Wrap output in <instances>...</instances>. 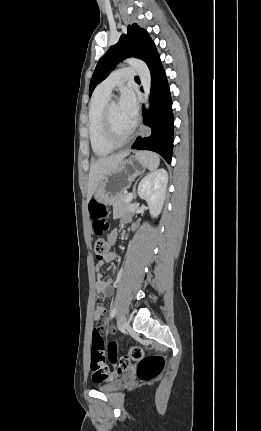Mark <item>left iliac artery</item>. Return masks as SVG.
I'll return each instance as SVG.
<instances>
[{
    "label": "left iliac artery",
    "instance_id": "1",
    "mask_svg": "<svg viewBox=\"0 0 261 431\" xmlns=\"http://www.w3.org/2000/svg\"><path fill=\"white\" fill-rule=\"evenodd\" d=\"M116 314V308L114 307L110 313V317L113 318Z\"/></svg>",
    "mask_w": 261,
    "mask_h": 431
}]
</instances>
